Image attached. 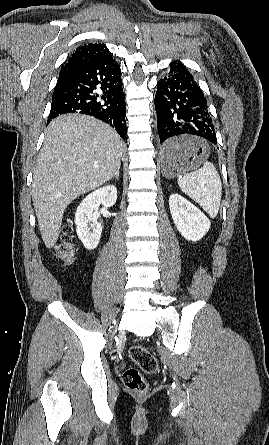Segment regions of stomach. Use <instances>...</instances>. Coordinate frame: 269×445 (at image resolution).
<instances>
[{"instance_id":"1","label":"stomach","mask_w":269,"mask_h":445,"mask_svg":"<svg viewBox=\"0 0 269 445\" xmlns=\"http://www.w3.org/2000/svg\"><path fill=\"white\" fill-rule=\"evenodd\" d=\"M181 150L173 155L160 152V167L162 174L167 178H174L196 169L209 153L207 144L196 137H182L176 139Z\"/></svg>"}]
</instances>
